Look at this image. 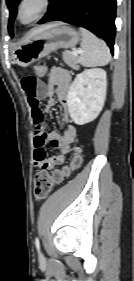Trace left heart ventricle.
<instances>
[{"mask_svg":"<svg viewBox=\"0 0 134 281\" xmlns=\"http://www.w3.org/2000/svg\"><path fill=\"white\" fill-rule=\"evenodd\" d=\"M39 8V4L37 0H30L28 3L24 5L21 11V19L23 21H28L34 17L37 10Z\"/></svg>","mask_w":134,"mask_h":281,"instance_id":"1","label":"left heart ventricle"}]
</instances>
